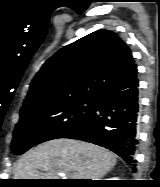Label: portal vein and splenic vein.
I'll return each mask as SVG.
<instances>
[{"instance_id":"portal-vein-and-splenic-vein-1","label":"portal vein and splenic vein","mask_w":160,"mask_h":187,"mask_svg":"<svg viewBox=\"0 0 160 187\" xmlns=\"http://www.w3.org/2000/svg\"><path fill=\"white\" fill-rule=\"evenodd\" d=\"M70 178L71 179H76V173L75 172L71 173Z\"/></svg>"}]
</instances>
